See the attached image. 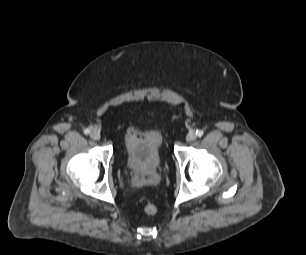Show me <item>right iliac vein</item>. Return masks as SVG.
<instances>
[{"instance_id":"1","label":"right iliac vein","mask_w":306,"mask_h":255,"mask_svg":"<svg viewBox=\"0 0 306 255\" xmlns=\"http://www.w3.org/2000/svg\"><path fill=\"white\" fill-rule=\"evenodd\" d=\"M90 137L93 139V140H99L100 139V133L97 131V130H93L91 133H90Z\"/></svg>"}]
</instances>
